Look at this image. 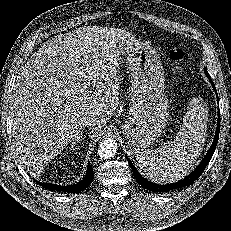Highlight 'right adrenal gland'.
Listing matches in <instances>:
<instances>
[{"mask_svg": "<svg viewBox=\"0 0 231 231\" xmlns=\"http://www.w3.org/2000/svg\"><path fill=\"white\" fill-rule=\"evenodd\" d=\"M82 134H83V132L81 131V133L79 134V136L76 138V140L72 143L73 145H72V147L74 146V145H76L77 143H79V140H80V138L82 137Z\"/></svg>", "mask_w": 231, "mask_h": 231, "instance_id": "right-adrenal-gland-1", "label": "right adrenal gland"}]
</instances>
